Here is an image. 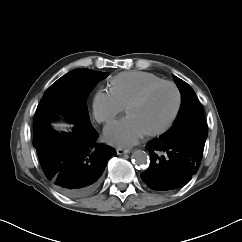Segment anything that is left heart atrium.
<instances>
[{
    "instance_id": "1",
    "label": "left heart atrium",
    "mask_w": 242,
    "mask_h": 242,
    "mask_svg": "<svg viewBox=\"0 0 242 242\" xmlns=\"http://www.w3.org/2000/svg\"><path fill=\"white\" fill-rule=\"evenodd\" d=\"M144 135V130L129 114L110 123L104 130L106 141L118 146H130L136 144Z\"/></svg>"
}]
</instances>
